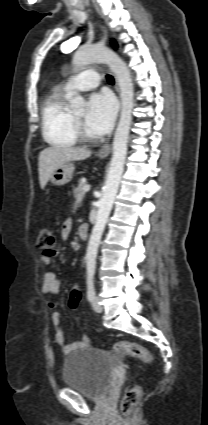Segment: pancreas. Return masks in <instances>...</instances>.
Masks as SVG:
<instances>
[{
	"label": "pancreas",
	"instance_id": "cf45deb5",
	"mask_svg": "<svg viewBox=\"0 0 208 425\" xmlns=\"http://www.w3.org/2000/svg\"><path fill=\"white\" fill-rule=\"evenodd\" d=\"M85 185H86V182L83 179H80L78 183V187L74 191V197H75L74 209L75 210L85 196V191L83 190Z\"/></svg>",
	"mask_w": 208,
	"mask_h": 425
}]
</instances>
